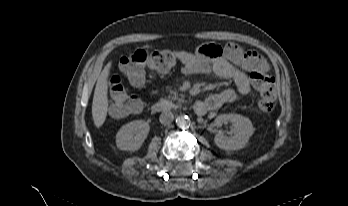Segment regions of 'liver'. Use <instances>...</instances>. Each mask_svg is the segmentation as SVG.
<instances>
[{
    "label": "liver",
    "mask_w": 348,
    "mask_h": 206,
    "mask_svg": "<svg viewBox=\"0 0 348 206\" xmlns=\"http://www.w3.org/2000/svg\"><path fill=\"white\" fill-rule=\"evenodd\" d=\"M111 63L103 70L97 80L92 103V117L97 128L105 122L108 111V77Z\"/></svg>",
    "instance_id": "1"
}]
</instances>
